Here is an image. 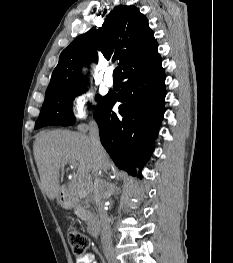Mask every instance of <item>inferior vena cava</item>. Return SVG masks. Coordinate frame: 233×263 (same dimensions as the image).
Segmentation results:
<instances>
[{
  "label": "inferior vena cava",
  "instance_id": "obj_1",
  "mask_svg": "<svg viewBox=\"0 0 233 263\" xmlns=\"http://www.w3.org/2000/svg\"><path fill=\"white\" fill-rule=\"evenodd\" d=\"M89 138H90L92 148L95 154V159L97 162H99L100 154L102 152V146H101L100 138H99L98 125L95 121H92L90 123ZM95 180H97V178H95ZM82 185L89 186L90 180L82 181ZM91 188L93 191L94 200L96 203L97 213L99 217V223L101 226V244H102L103 252L106 256L108 263H117V260L114 254V250H113V245H112L110 221H109L107 212L104 208V202L102 200L103 195L101 192V188L96 186L95 183L91 185Z\"/></svg>",
  "mask_w": 233,
  "mask_h": 263
}]
</instances>
